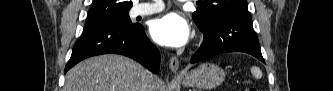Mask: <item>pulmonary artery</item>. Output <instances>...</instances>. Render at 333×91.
<instances>
[{
  "label": "pulmonary artery",
  "instance_id": "1",
  "mask_svg": "<svg viewBox=\"0 0 333 91\" xmlns=\"http://www.w3.org/2000/svg\"><path fill=\"white\" fill-rule=\"evenodd\" d=\"M164 9V5L161 1H155L151 4L141 3L134 9V13L140 16H148L158 13Z\"/></svg>",
  "mask_w": 333,
  "mask_h": 91
}]
</instances>
